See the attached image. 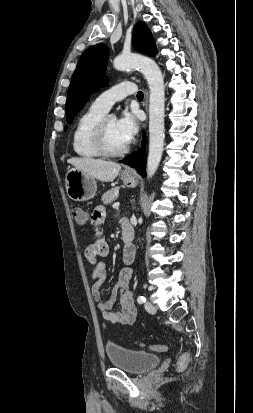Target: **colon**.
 <instances>
[{"instance_id":"obj_1","label":"colon","mask_w":253,"mask_h":413,"mask_svg":"<svg viewBox=\"0 0 253 413\" xmlns=\"http://www.w3.org/2000/svg\"><path fill=\"white\" fill-rule=\"evenodd\" d=\"M71 211V215L73 217V219L75 220V222L78 225H85L87 223V214L83 211L82 208H80L79 206L73 205L70 209ZM140 346H145V344L143 343H138ZM148 347L151 350L157 351V352H166L167 351V346L165 345H160V344H156V345H148ZM189 363V354L188 353H183L180 357L179 360L177 362V369L179 371L183 370L186 368V366Z\"/></svg>"}]
</instances>
